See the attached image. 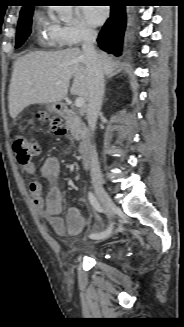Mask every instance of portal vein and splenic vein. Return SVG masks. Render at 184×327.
I'll return each instance as SVG.
<instances>
[{"mask_svg": "<svg viewBox=\"0 0 184 327\" xmlns=\"http://www.w3.org/2000/svg\"><path fill=\"white\" fill-rule=\"evenodd\" d=\"M84 103H85V101H84L83 97H77L75 99V106L78 107V108L83 107Z\"/></svg>", "mask_w": 184, "mask_h": 327, "instance_id": "obj_1", "label": "portal vein and splenic vein"}]
</instances>
